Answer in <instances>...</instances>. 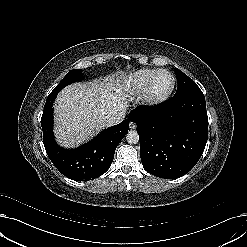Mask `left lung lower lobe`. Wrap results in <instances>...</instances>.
<instances>
[{"mask_svg": "<svg viewBox=\"0 0 247 247\" xmlns=\"http://www.w3.org/2000/svg\"><path fill=\"white\" fill-rule=\"evenodd\" d=\"M129 119L137 124L143 167L154 176L182 177L204 151L208 116L201 90L156 106H138Z\"/></svg>", "mask_w": 247, "mask_h": 247, "instance_id": "0a47b994", "label": "left lung lower lobe"}]
</instances>
